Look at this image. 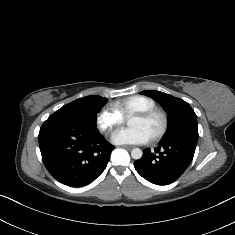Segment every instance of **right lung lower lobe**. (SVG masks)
I'll use <instances>...</instances> for the list:
<instances>
[{
  "label": "right lung lower lobe",
  "mask_w": 235,
  "mask_h": 235,
  "mask_svg": "<svg viewBox=\"0 0 235 235\" xmlns=\"http://www.w3.org/2000/svg\"><path fill=\"white\" fill-rule=\"evenodd\" d=\"M38 139L48 172L72 187L94 181L105 170L115 148L96 128L66 117L50 116L40 128Z\"/></svg>",
  "instance_id": "obj_1"
}]
</instances>
